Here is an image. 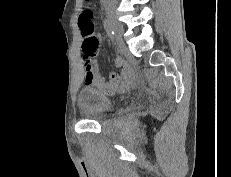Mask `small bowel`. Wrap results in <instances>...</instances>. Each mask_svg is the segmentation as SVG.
<instances>
[{"label":"small bowel","instance_id":"obj_1","mask_svg":"<svg viewBox=\"0 0 231 177\" xmlns=\"http://www.w3.org/2000/svg\"><path fill=\"white\" fill-rule=\"evenodd\" d=\"M84 68L86 83L101 89L106 94L126 92L137 83L135 73L129 66H125L119 73L110 72L108 81L96 72L93 61L89 65L84 63Z\"/></svg>","mask_w":231,"mask_h":177}]
</instances>
